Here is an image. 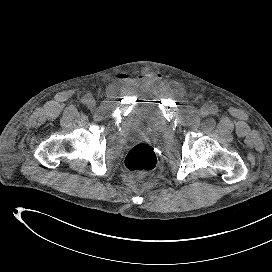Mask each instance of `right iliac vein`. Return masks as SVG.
<instances>
[{
    "label": "right iliac vein",
    "instance_id": "63e3f726",
    "mask_svg": "<svg viewBox=\"0 0 272 272\" xmlns=\"http://www.w3.org/2000/svg\"><path fill=\"white\" fill-rule=\"evenodd\" d=\"M95 105H96L95 100H94L93 98H89V99H88V106H89L90 108H93V107H95Z\"/></svg>",
    "mask_w": 272,
    "mask_h": 272
}]
</instances>
